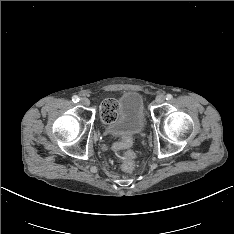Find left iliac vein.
<instances>
[{"label": "left iliac vein", "mask_w": 234, "mask_h": 234, "mask_svg": "<svg viewBox=\"0 0 234 234\" xmlns=\"http://www.w3.org/2000/svg\"><path fill=\"white\" fill-rule=\"evenodd\" d=\"M155 101L157 104H162L165 101V96L163 94H160L156 97Z\"/></svg>", "instance_id": "1"}]
</instances>
